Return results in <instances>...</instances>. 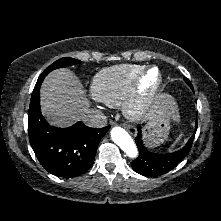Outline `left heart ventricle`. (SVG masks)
Wrapping results in <instances>:
<instances>
[{
    "instance_id": "1",
    "label": "left heart ventricle",
    "mask_w": 221,
    "mask_h": 221,
    "mask_svg": "<svg viewBox=\"0 0 221 221\" xmlns=\"http://www.w3.org/2000/svg\"><path fill=\"white\" fill-rule=\"evenodd\" d=\"M157 74L155 71H152L143 81L142 87L145 90L150 89L156 82Z\"/></svg>"
}]
</instances>
